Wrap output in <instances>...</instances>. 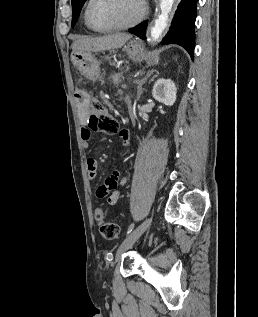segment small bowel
I'll return each instance as SVG.
<instances>
[{
    "label": "small bowel",
    "mask_w": 258,
    "mask_h": 317,
    "mask_svg": "<svg viewBox=\"0 0 258 317\" xmlns=\"http://www.w3.org/2000/svg\"><path fill=\"white\" fill-rule=\"evenodd\" d=\"M120 136L124 141L128 140V132L123 129L120 132ZM81 142L83 148L87 149L91 144V131L87 128H83L81 131ZM86 169L89 179H94L97 175V161L94 158H88L86 160ZM127 181V175L120 179V174L118 171H113V173L105 180V182L100 185L96 190V196L98 198L105 197L110 191H113L108 198V204L113 206L117 203L120 192L119 187L123 186Z\"/></svg>",
    "instance_id": "c3829d8e"
}]
</instances>
